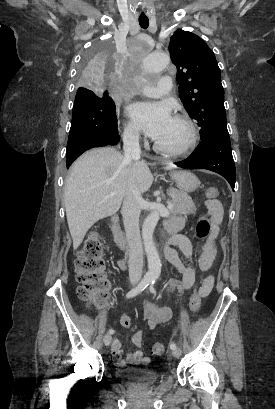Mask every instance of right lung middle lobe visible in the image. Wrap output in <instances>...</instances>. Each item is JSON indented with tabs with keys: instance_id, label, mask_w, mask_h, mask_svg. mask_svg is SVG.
I'll use <instances>...</instances> for the list:
<instances>
[{
	"instance_id": "1",
	"label": "right lung middle lobe",
	"mask_w": 275,
	"mask_h": 409,
	"mask_svg": "<svg viewBox=\"0 0 275 409\" xmlns=\"http://www.w3.org/2000/svg\"><path fill=\"white\" fill-rule=\"evenodd\" d=\"M92 50H85L77 73L78 90H103L104 85H115L113 59L119 58L113 42L104 37L92 42ZM120 96H103L101 92H77L67 143L64 173L72 172V163L93 147L115 145L118 135L116 105ZM65 175V174H64Z\"/></svg>"
}]
</instances>
